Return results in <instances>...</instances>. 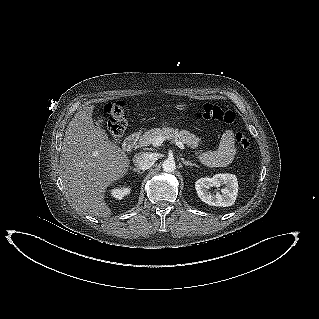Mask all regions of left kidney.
I'll return each instance as SVG.
<instances>
[{"mask_svg":"<svg viewBox=\"0 0 319 319\" xmlns=\"http://www.w3.org/2000/svg\"><path fill=\"white\" fill-rule=\"evenodd\" d=\"M223 186L221 192L211 193V187ZM199 198L212 206H232L238 195V181L235 175L224 173L216 174L212 178H200L195 183Z\"/></svg>","mask_w":319,"mask_h":319,"instance_id":"obj_1","label":"left kidney"}]
</instances>
